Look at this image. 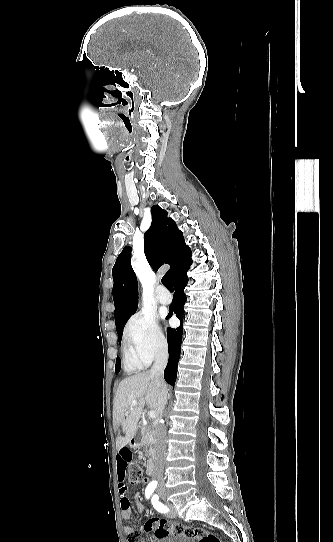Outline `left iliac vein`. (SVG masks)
Returning a JSON list of instances; mask_svg holds the SVG:
<instances>
[{
    "mask_svg": "<svg viewBox=\"0 0 333 542\" xmlns=\"http://www.w3.org/2000/svg\"><path fill=\"white\" fill-rule=\"evenodd\" d=\"M167 505H168V507H169V512H168L167 516H168V517H171V518L175 517L176 512H175V507H174V505H173L172 503H170V502H167Z\"/></svg>",
    "mask_w": 333,
    "mask_h": 542,
    "instance_id": "left-iliac-vein-1",
    "label": "left iliac vein"
}]
</instances>
